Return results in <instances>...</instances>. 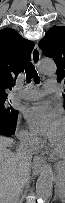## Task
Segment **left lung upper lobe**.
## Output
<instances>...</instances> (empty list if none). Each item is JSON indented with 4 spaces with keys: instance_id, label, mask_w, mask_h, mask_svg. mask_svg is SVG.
I'll return each mask as SVG.
<instances>
[{
    "instance_id": "1",
    "label": "left lung upper lobe",
    "mask_w": 65,
    "mask_h": 203,
    "mask_svg": "<svg viewBox=\"0 0 65 203\" xmlns=\"http://www.w3.org/2000/svg\"><path fill=\"white\" fill-rule=\"evenodd\" d=\"M39 47L45 56L54 59L57 65L58 81H64L65 83V27L53 26L49 29L39 41Z\"/></svg>"
}]
</instances>
